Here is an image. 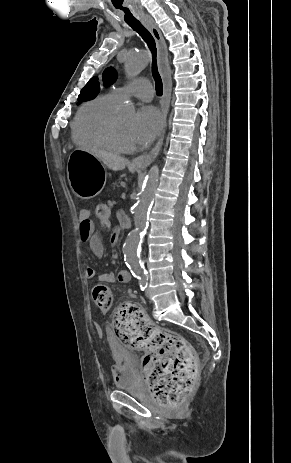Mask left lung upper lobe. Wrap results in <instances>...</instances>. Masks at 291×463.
<instances>
[{"label":"left lung upper lobe","mask_w":291,"mask_h":463,"mask_svg":"<svg viewBox=\"0 0 291 463\" xmlns=\"http://www.w3.org/2000/svg\"><path fill=\"white\" fill-rule=\"evenodd\" d=\"M116 80V72L113 68H107L103 72V84L109 86ZM100 91V83L98 77L91 78L78 96L79 101L91 100L98 95Z\"/></svg>","instance_id":"1"}]
</instances>
